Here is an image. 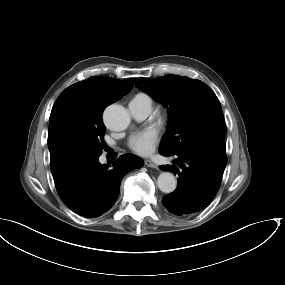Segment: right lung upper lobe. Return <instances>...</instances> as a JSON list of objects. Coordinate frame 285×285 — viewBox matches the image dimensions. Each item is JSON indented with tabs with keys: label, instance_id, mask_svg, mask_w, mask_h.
I'll return each mask as SVG.
<instances>
[{
	"label": "right lung upper lobe",
	"instance_id": "obj_1",
	"mask_svg": "<svg viewBox=\"0 0 285 285\" xmlns=\"http://www.w3.org/2000/svg\"><path fill=\"white\" fill-rule=\"evenodd\" d=\"M135 81V78L116 80L107 77H90L84 81L71 85L65 90L88 94L97 97L108 104H112L128 94Z\"/></svg>",
	"mask_w": 285,
	"mask_h": 285
}]
</instances>
